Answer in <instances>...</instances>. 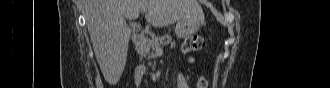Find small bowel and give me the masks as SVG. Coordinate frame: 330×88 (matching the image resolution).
Here are the masks:
<instances>
[{
	"instance_id": "obj_1",
	"label": "small bowel",
	"mask_w": 330,
	"mask_h": 88,
	"mask_svg": "<svg viewBox=\"0 0 330 88\" xmlns=\"http://www.w3.org/2000/svg\"><path fill=\"white\" fill-rule=\"evenodd\" d=\"M177 88H189V84L182 73H178L176 79Z\"/></svg>"
}]
</instances>
